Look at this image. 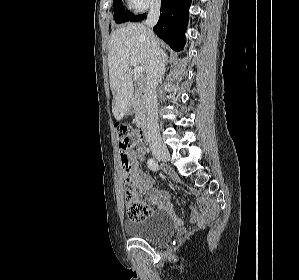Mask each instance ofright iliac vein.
<instances>
[{
  "label": "right iliac vein",
  "instance_id": "obj_1",
  "mask_svg": "<svg viewBox=\"0 0 299 280\" xmlns=\"http://www.w3.org/2000/svg\"><path fill=\"white\" fill-rule=\"evenodd\" d=\"M153 155L155 156V158L162 161H168L170 159V153L165 147H159L154 149Z\"/></svg>",
  "mask_w": 299,
  "mask_h": 280
}]
</instances>
